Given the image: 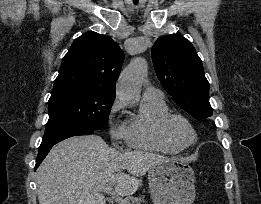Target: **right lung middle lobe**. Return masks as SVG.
<instances>
[{"mask_svg":"<svg viewBox=\"0 0 261 204\" xmlns=\"http://www.w3.org/2000/svg\"><path fill=\"white\" fill-rule=\"evenodd\" d=\"M115 96L93 90L51 95L44 137L65 131L100 130L107 124Z\"/></svg>","mask_w":261,"mask_h":204,"instance_id":"dd1d6c3e","label":"right lung middle lobe"}]
</instances>
